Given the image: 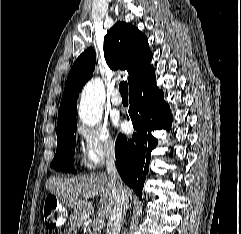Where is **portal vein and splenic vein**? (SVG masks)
Returning a JSON list of instances; mask_svg holds the SVG:
<instances>
[{"label":"portal vein and splenic vein","mask_w":241,"mask_h":234,"mask_svg":"<svg viewBox=\"0 0 241 234\" xmlns=\"http://www.w3.org/2000/svg\"><path fill=\"white\" fill-rule=\"evenodd\" d=\"M104 225V220L102 217H97L93 220L92 227L100 229Z\"/></svg>","instance_id":"18ae733b"}]
</instances>
